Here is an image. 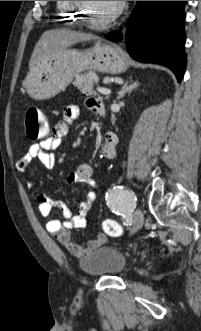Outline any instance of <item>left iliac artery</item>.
Returning <instances> with one entry per match:
<instances>
[{"label":"left iliac artery","mask_w":201,"mask_h":331,"mask_svg":"<svg viewBox=\"0 0 201 331\" xmlns=\"http://www.w3.org/2000/svg\"><path fill=\"white\" fill-rule=\"evenodd\" d=\"M106 201L111 211L126 221L130 219V215L136 206L134 192L123 186H114L111 191L106 193Z\"/></svg>","instance_id":"obj_1"}]
</instances>
